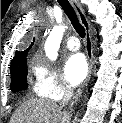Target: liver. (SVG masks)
<instances>
[{
    "label": "liver",
    "instance_id": "obj_1",
    "mask_svg": "<svg viewBox=\"0 0 122 123\" xmlns=\"http://www.w3.org/2000/svg\"><path fill=\"white\" fill-rule=\"evenodd\" d=\"M68 115L51 100L31 98L14 112L10 123H66Z\"/></svg>",
    "mask_w": 122,
    "mask_h": 123
}]
</instances>
